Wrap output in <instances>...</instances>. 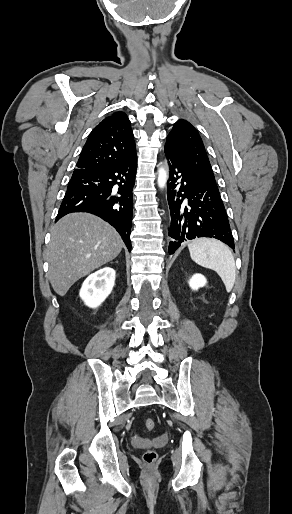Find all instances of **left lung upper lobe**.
I'll return each mask as SVG.
<instances>
[{
    "label": "left lung upper lobe",
    "instance_id": "5c2ea615",
    "mask_svg": "<svg viewBox=\"0 0 292 514\" xmlns=\"http://www.w3.org/2000/svg\"><path fill=\"white\" fill-rule=\"evenodd\" d=\"M165 148L174 152L189 170L215 182L203 141L191 123L184 119L178 120L167 136Z\"/></svg>",
    "mask_w": 292,
    "mask_h": 514
}]
</instances>
